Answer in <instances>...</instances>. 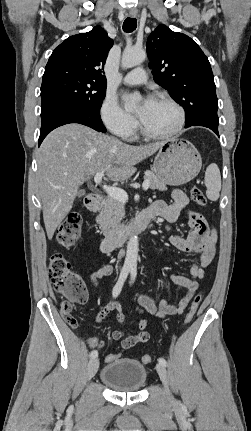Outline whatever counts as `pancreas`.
<instances>
[{
    "mask_svg": "<svg viewBox=\"0 0 251 431\" xmlns=\"http://www.w3.org/2000/svg\"><path fill=\"white\" fill-rule=\"evenodd\" d=\"M145 179L150 181L151 189L166 190V185L152 171H146ZM125 216L124 203L108 197L106 204L97 216L96 221L99 224L105 237L115 236L122 228L121 221Z\"/></svg>",
    "mask_w": 251,
    "mask_h": 431,
    "instance_id": "1",
    "label": "pancreas"
}]
</instances>
